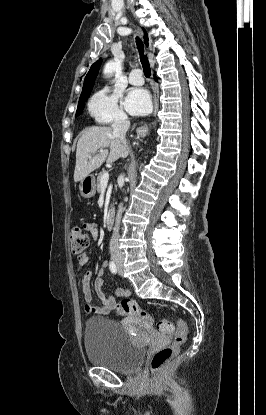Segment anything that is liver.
Listing matches in <instances>:
<instances>
[{"mask_svg": "<svg viewBox=\"0 0 266 415\" xmlns=\"http://www.w3.org/2000/svg\"><path fill=\"white\" fill-rule=\"evenodd\" d=\"M107 147L110 148V152ZM98 150L100 153L95 154ZM128 151V146L113 135L112 128L98 126L85 128L77 143L74 181H81L99 168L105 160L107 163H113L120 157H125Z\"/></svg>", "mask_w": 266, "mask_h": 415, "instance_id": "liver-1", "label": "liver"}]
</instances>
